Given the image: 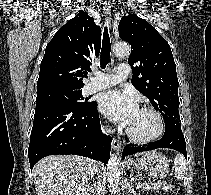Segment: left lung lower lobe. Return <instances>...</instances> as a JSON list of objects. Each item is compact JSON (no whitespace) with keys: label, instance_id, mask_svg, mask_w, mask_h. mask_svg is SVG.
<instances>
[{"label":"left lung lower lobe","instance_id":"obj_1","mask_svg":"<svg viewBox=\"0 0 211 195\" xmlns=\"http://www.w3.org/2000/svg\"><path fill=\"white\" fill-rule=\"evenodd\" d=\"M157 148H170L179 151L187 158L185 138L181 130V126L175 125L166 127L164 136L153 143L144 146L128 145L124 148L122 156L123 159L131 154L143 151L154 150Z\"/></svg>","mask_w":211,"mask_h":195}]
</instances>
